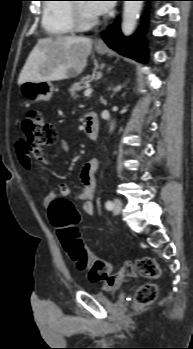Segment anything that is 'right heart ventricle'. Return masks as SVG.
Masks as SVG:
<instances>
[{
    "mask_svg": "<svg viewBox=\"0 0 193 349\" xmlns=\"http://www.w3.org/2000/svg\"><path fill=\"white\" fill-rule=\"evenodd\" d=\"M69 1V0H47ZM72 4L48 2L43 5L42 26L51 37H65L74 32L72 23Z\"/></svg>",
    "mask_w": 193,
    "mask_h": 349,
    "instance_id": "right-heart-ventricle-1",
    "label": "right heart ventricle"
}]
</instances>
